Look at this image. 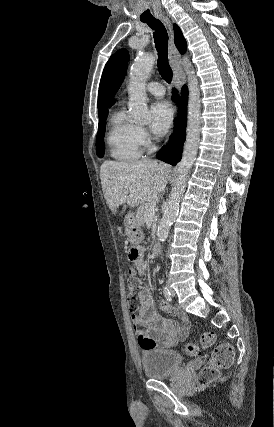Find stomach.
Here are the masks:
<instances>
[{"label":"stomach","instance_id":"1","mask_svg":"<svg viewBox=\"0 0 274 427\" xmlns=\"http://www.w3.org/2000/svg\"><path fill=\"white\" fill-rule=\"evenodd\" d=\"M124 235H126L130 243H140V241L143 239L142 229L139 223H137L134 214L125 215Z\"/></svg>","mask_w":274,"mask_h":427}]
</instances>
